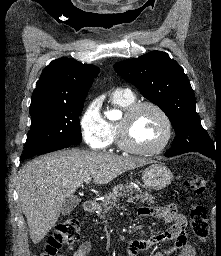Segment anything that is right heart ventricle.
I'll use <instances>...</instances> for the list:
<instances>
[{
  "label": "right heart ventricle",
  "instance_id": "1",
  "mask_svg": "<svg viewBox=\"0 0 221 256\" xmlns=\"http://www.w3.org/2000/svg\"><path fill=\"white\" fill-rule=\"evenodd\" d=\"M112 102L114 105L126 109L131 104L136 102V98L132 93H124V92H115L112 95ZM111 136H112V142L117 140V122H108Z\"/></svg>",
  "mask_w": 221,
  "mask_h": 256
}]
</instances>
